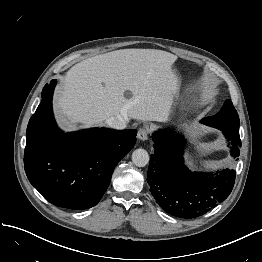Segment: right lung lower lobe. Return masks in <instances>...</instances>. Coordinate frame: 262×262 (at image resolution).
Wrapping results in <instances>:
<instances>
[{"mask_svg": "<svg viewBox=\"0 0 262 262\" xmlns=\"http://www.w3.org/2000/svg\"><path fill=\"white\" fill-rule=\"evenodd\" d=\"M56 80L42 90V102L26 131L24 167L30 183L52 204L81 210L95 206L118 162L134 147L135 129L93 128L63 133L52 112Z\"/></svg>", "mask_w": 262, "mask_h": 262, "instance_id": "98d812e1", "label": "right lung lower lobe"}]
</instances>
